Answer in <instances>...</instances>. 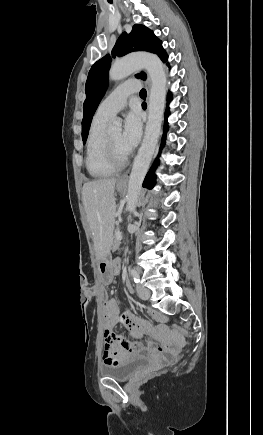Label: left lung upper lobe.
Masks as SVG:
<instances>
[{
	"mask_svg": "<svg viewBox=\"0 0 263 435\" xmlns=\"http://www.w3.org/2000/svg\"><path fill=\"white\" fill-rule=\"evenodd\" d=\"M134 51H148L157 54L163 62L168 57L162 47V43L147 27L143 25H134L131 33H122L117 40L111 56H123ZM111 56L105 55L98 60L90 69L86 81L85 92L86 100L84 101L82 120V140L85 143L92 117L104 96L108 86V71L111 65ZM137 78L145 79V73L136 75Z\"/></svg>",
	"mask_w": 263,
	"mask_h": 435,
	"instance_id": "left-lung-upper-lobe-1",
	"label": "left lung upper lobe"
}]
</instances>
